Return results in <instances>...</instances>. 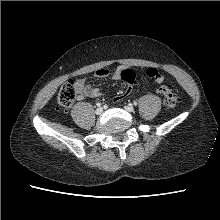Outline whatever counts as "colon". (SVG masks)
<instances>
[{
    "mask_svg": "<svg viewBox=\"0 0 220 220\" xmlns=\"http://www.w3.org/2000/svg\"><path fill=\"white\" fill-rule=\"evenodd\" d=\"M146 75L149 78L155 79L156 82L161 84L158 88V92L163 96L166 106L172 108L175 107L178 100L171 87L162 84L164 77L154 68H149L146 71ZM121 80L126 84L125 90L122 92L127 95L130 93L132 86L136 80V73L132 69H126L121 72ZM77 97V86L74 81L70 80L66 82L60 89L57 103L61 108L67 109L72 106Z\"/></svg>",
    "mask_w": 220,
    "mask_h": 220,
    "instance_id": "1",
    "label": "colon"
}]
</instances>
